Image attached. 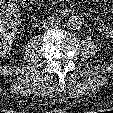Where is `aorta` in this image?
Instances as JSON below:
<instances>
[{"label":"aorta","mask_w":113,"mask_h":113,"mask_svg":"<svg viewBox=\"0 0 113 113\" xmlns=\"http://www.w3.org/2000/svg\"><path fill=\"white\" fill-rule=\"evenodd\" d=\"M67 25L70 29L77 30L81 27L82 20L79 16H70L67 21Z\"/></svg>","instance_id":"aorta-1"}]
</instances>
